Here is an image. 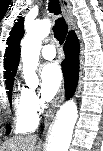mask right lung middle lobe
Returning a JSON list of instances; mask_svg holds the SVG:
<instances>
[{"instance_id":"right-lung-middle-lobe-1","label":"right lung middle lobe","mask_w":103,"mask_h":151,"mask_svg":"<svg viewBox=\"0 0 103 151\" xmlns=\"http://www.w3.org/2000/svg\"><path fill=\"white\" fill-rule=\"evenodd\" d=\"M13 83H14L13 80L6 81V87L8 89L9 100H11V96H12ZM8 133H9V130H8Z\"/></svg>"}]
</instances>
